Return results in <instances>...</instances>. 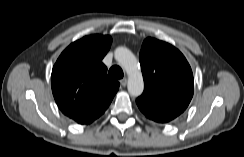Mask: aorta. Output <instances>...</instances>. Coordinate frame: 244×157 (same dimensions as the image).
Segmentation results:
<instances>
[{
    "mask_svg": "<svg viewBox=\"0 0 244 157\" xmlns=\"http://www.w3.org/2000/svg\"><path fill=\"white\" fill-rule=\"evenodd\" d=\"M114 57L128 75L127 88L130 95H141L144 90V81L134 54L125 47H118L115 49Z\"/></svg>",
    "mask_w": 244,
    "mask_h": 157,
    "instance_id": "762f6f07",
    "label": "aorta"
}]
</instances>
